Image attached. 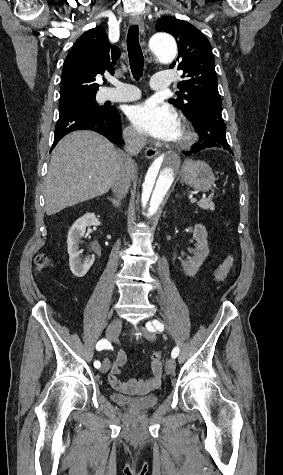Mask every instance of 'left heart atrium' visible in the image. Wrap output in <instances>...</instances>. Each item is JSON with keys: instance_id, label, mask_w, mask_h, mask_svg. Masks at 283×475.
I'll return each mask as SVG.
<instances>
[{"instance_id": "1", "label": "left heart atrium", "mask_w": 283, "mask_h": 475, "mask_svg": "<svg viewBox=\"0 0 283 475\" xmlns=\"http://www.w3.org/2000/svg\"><path fill=\"white\" fill-rule=\"evenodd\" d=\"M127 117L132 127L146 136L175 141L180 135V122L176 111L170 105L147 100L133 105Z\"/></svg>"}]
</instances>
